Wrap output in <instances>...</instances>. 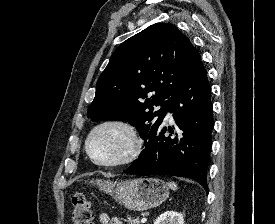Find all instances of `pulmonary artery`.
I'll return each mask as SVG.
<instances>
[{
    "instance_id": "1",
    "label": "pulmonary artery",
    "mask_w": 275,
    "mask_h": 224,
    "mask_svg": "<svg viewBox=\"0 0 275 224\" xmlns=\"http://www.w3.org/2000/svg\"><path fill=\"white\" fill-rule=\"evenodd\" d=\"M167 115H168V117H170V113H168Z\"/></svg>"
}]
</instances>
